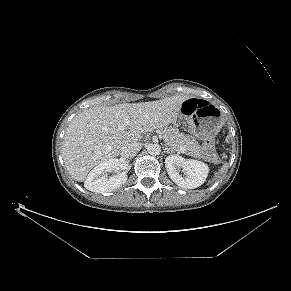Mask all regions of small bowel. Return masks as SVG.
<instances>
[{
  "label": "small bowel",
  "mask_w": 291,
  "mask_h": 291,
  "mask_svg": "<svg viewBox=\"0 0 291 291\" xmlns=\"http://www.w3.org/2000/svg\"><path fill=\"white\" fill-rule=\"evenodd\" d=\"M197 99L195 98H188V99H185L183 102H182V105H181V110L183 113L185 114H190L192 113V106L194 104L197 103Z\"/></svg>",
  "instance_id": "c3829d8e"
}]
</instances>
